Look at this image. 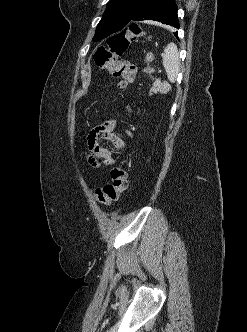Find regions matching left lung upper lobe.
<instances>
[{"instance_id": "left-lung-upper-lobe-1", "label": "left lung upper lobe", "mask_w": 247, "mask_h": 332, "mask_svg": "<svg viewBox=\"0 0 247 332\" xmlns=\"http://www.w3.org/2000/svg\"><path fill=\"white\" fill-rule=\"evenodd\" d=\"M147 0H110L97 25L93 41H99L126 28Z\"/></svg>"}]
</instances>
